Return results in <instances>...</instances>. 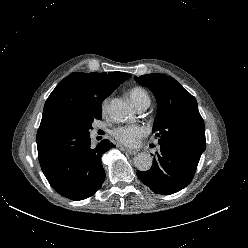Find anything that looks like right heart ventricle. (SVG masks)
Segmentation results:
<instances>
[{
  "label": "right heart ventricle",
  "instance_id": "1",
  "mask_svg": "<svg viewBox=\"0 0 248 248\" xmlns=\"http://www.w3.org/2000/svg\"><path fill=\"white\" fill-rule=\"evenodd\" d=\"M129 95H130L131 100L136 106L143 102L150 103V96L148 92L142 87H139V86L133 87L130 90Z\"/></svg>",
  "mask_w": 248,
  "mask_h": 248
}]
</instances>
